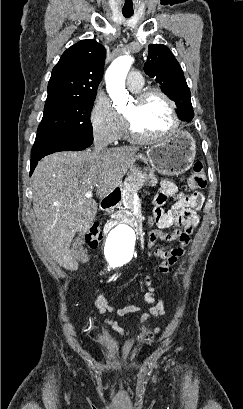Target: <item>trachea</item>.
I'll return each mask as SVG.
<instances>
[{"mask_svg": "<svg viewBox=\"0 0 243 409\" xmlns=\"http://www.w3.org/2000/svg\"><path fill=\"white\" fill-rule=\"evenodd\" d=\"M122 13H123L124 17H126V18L131 17V16L133 15V12H125V11H123Z\"/></svg>", "mask_w": 243, "mask_h": 409, "instance_id": "1", "label": "trachea"}]
</instances>
